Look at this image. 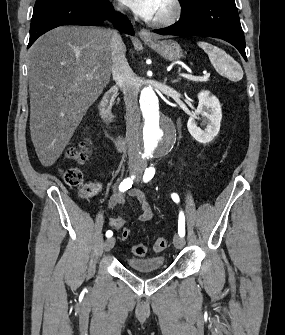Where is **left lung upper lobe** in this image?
<instances>
[{
  "mask_svg": "<svg viewBox=\"0 0 285 335\" xmlns=\"http://www.w3.org/2000/svg\"><path fill=\"white\" fill-rule=\"evenodd\" d=\"M181 2V4H185V3H189L192 2L194 0H179Z\"/></svg>",
  "mask_w": 285,
  "mask_h": 335,
  "instance_id": "1",
  "label": "left lung upper lobe"
}]
</instances>
